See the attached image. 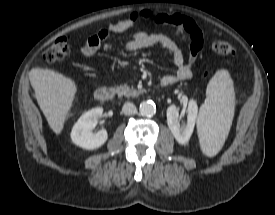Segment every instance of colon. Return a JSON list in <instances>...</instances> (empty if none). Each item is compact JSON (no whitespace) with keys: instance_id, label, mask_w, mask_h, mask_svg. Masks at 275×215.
<instances>
[{"instance_id":"1","label":"colon","mask_w":275,"mask_h":215,"mask_svg":"<svg viewBox=\"0 0 275 215\" xmlns=\"http://www.w3.org/2000/svg\"><path fill=\"white\" fill-rule=\"evenodd\" d=\"M151 14L144 13L141 15L132 14L127 17V21L137 22L140 19L149 18ZM168 26L175 32L180 38L193 37L197 32V26L190 19L180 16L173 15L164 18V21ZM69 37H61L54 41L44 52V60L52 63L63 59L69 52ZM211 48L214 52L221 55H235V48L226 41L215 40L211 44ZM207 75V73H206Z\"/></svg>"}]
</instances>
